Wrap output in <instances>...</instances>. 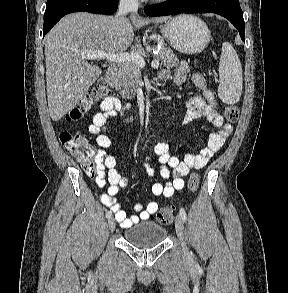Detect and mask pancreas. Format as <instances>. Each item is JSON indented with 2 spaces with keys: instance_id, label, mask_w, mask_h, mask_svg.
Here are the masks:
<instances>
[{
  "instance_id": "pancreas-1",
  "label": "pancreas",
  "mask_w": 288,
  "mask_h": 293,
  "mask_svg": "<svg viewBox=\"0 0 288 293\" xmlns=\"http://www.w3.org/2000/svg\"><path fill=\"white\" fill-rule=\"evenodd\" d=\"M157 42V46H147L146 51L148 48L159 47L158 60L161 61L160 65L166 66L168 68H173L177 66L179 63V59L174 54L172 49L168 48L166 44L161 40ZM134 51L141 54L144 52V48L138 42L135 45ZM140 79L141 71L139 66H137L133 62H122L118 64L114 87L116 90L119 91L123 98L132 99L135 96Z\"/></svg>"
}]
</instances>
